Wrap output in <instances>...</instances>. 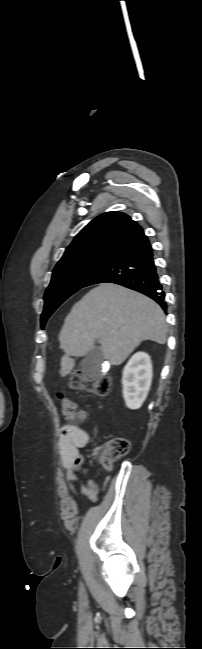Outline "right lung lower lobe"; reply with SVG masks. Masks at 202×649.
I'll return each mask as SVG.
<instances>
[{"label": "right lung lower lobe", "mask_w": 202, "mask_h": 649, "mask_svg": "<svg viewBox=\"0 0 202 649\" xmlns=\"http://www.w3.org/2000/svg\"><path fill=\"white\" fill-rule=\"evenodd\" d=\"M111 282L143 293L155 300L164 310L165 293L159 281L153 260V250L146 237L137 244L115 254L87 281L84 287Z\"/></svg>", "instance_id": "obj_1"}]
</instances>
